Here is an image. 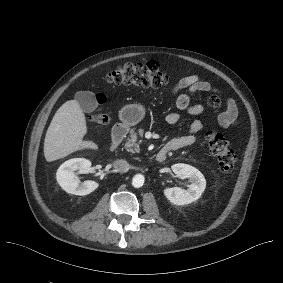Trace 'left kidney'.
<instances>
[{
  "instance_id": "left-kidney-1",
  "label": "left kidney",
  "mask_w": 283,
  "mask_h": 283,
  "mask_svg": "<svg viewBox=\"0 0 283 283\" xmlns=\"http://www.w3.org/2000/svg\"><path fill=\"white\" fill-rule=\"evenodd\" d=\"M171 168L179 178L188 179L190 184L187 189L166 188L164 190L166 198L175 205L189 204L198 200L206 187L203 174L195 167L183 163L174 164Z\"/></svg>"
}]
</instances>
